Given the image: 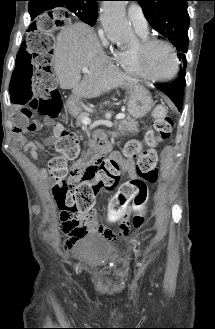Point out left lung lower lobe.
Segmentation results:
<instances>
[{
  "instance_id": "obj_1",
  "label": "left lung lower lobe",
  "mask_w": 215,
  "mask_h": 329,
  "mask_svg": "<svg viewBox=\"0 0 215 329\" xmlns=\"http://www.w3.org/2000/svg\"><path fill=\"white\" fill-rule=\"evenodd\" d=\"M186 85L185 81V74L178 77L174 82L158 86L155 85L159 90L167 94L171 100L175 103V105L180 110V107L182 106V97H183V87Z\"/></svg>"
}]
</instances>
